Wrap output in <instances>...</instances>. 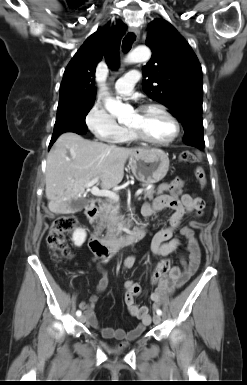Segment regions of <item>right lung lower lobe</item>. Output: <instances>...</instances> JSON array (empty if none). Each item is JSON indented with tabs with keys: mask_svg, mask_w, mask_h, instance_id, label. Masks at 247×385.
<instances>
[{
	"mask_svg": "<svg viewBox=\"0 0 247 385\" xmlns=\"http://www.w3.org/2000/svg\"><path fill=\"white\" fill-rule=\"evenodd\" d=\"M86 130H87V129H74V130L65 131V132H74V133H77V134L82 135V134H85V133H86ZM62 133H64V132H62ZM62 133H59V134H56V135H53V136H52L49 147L52 146V144L55 142V140L58 138V136H59L60 134H62Z\"/></svg>",
	"mask_w": 247,
	"mask_h": 385,
	"instance_id": "obj_1",
	"label": "right lung lower lobe"
}]
</instances>
